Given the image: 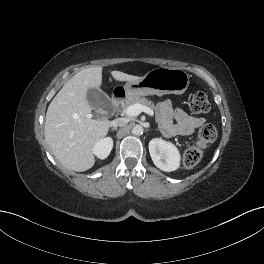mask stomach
<instances>
[{
	"label": "stomach",
	"mask_w": 264,
	"mask_h": 264,
	"mask_svg": "<svg viewBox=\"0 0 264 264\" xmlns=\"http://www.w3.org/2000/svg\"><path fill=\"white\" fill-rule=\"evenodd\" d=\"M189 75L180 68L159 67L150 70L139 80L124 85L128 98L164 94H183L189 86Z\"/></svg>",
	"instance_id": "obj_1"
}]
</instances>
